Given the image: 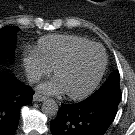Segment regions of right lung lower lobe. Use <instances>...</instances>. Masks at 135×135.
Segmentation results:
<instances>
[{"label":"right lung lower lobe","instance_id":"obj_1","mask_svg":"<svg viewBox=\"0 0 135 135\" xmlns=\"http://www.w3.org/2000/svg\"><path fill=\"white\" fill-rule=\"evenodd\" d=\"M31 87L17 81L8 73L0 74V135H13L17 129L20 109L31 104Z\"/></svg>","mask_w":135,"mask_h":135}]
</instances>
